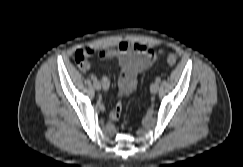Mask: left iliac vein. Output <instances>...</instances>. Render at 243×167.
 <instances>
[{"instance_id": "left-iliac-vein-1", "label": "left iliac vein", "mask_w": 243, "mask_h": 167, "mask_svg": "<svg viewBox=\"0 0 243 167\" xmlns=\"http://www.w3.org/2000/svg\"><path fill=\"white\" fill-rule=\"evenodd\" d=\"M159 89V84L157 82H154L150 85V92L152 94H156L158 92Z\"/></svg>"}]
</instances>
